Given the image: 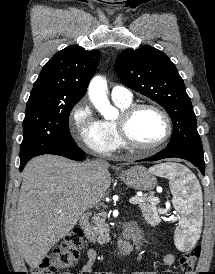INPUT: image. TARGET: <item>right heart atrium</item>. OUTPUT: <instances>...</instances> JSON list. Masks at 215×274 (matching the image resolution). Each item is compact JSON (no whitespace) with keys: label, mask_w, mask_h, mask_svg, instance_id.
I'll return each mask as SVG.
<instances>
[{"label":"right heart atrium","mask_w":215,"mask_h":274,"mask_svg":"<svg viewBox=\"0 0 215 274\" xmlns=\"http://www.w3.org/2000/svg\"><path fill=\"white\" fill-rule=\"evenodd\" d=\"M69 129L75 142L87 151L100 156H108L113 151L111 138L102 129L101 121L87 100H80L72 108Z\"/></svg>","instance_id":"right-heart-atrium-1"}]
</instances>
